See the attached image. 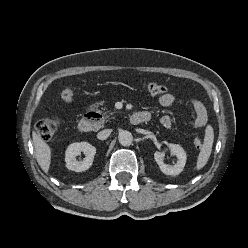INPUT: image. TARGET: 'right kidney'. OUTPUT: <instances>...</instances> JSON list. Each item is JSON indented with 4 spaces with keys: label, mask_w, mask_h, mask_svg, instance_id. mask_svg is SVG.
Instances as JSON below:
<instances>
[{
    "label": "right kidney",
    "mask_w": 248,
    "mask_h": 248,
    "mask_svg": "<svg viewBox=\"0 0 248 248\" xmlns=\"http://www.w3.org/2000/svg\"><path fill=\"white\" fill-rule=\"evenodd\" d=\"M83 152L85 158L78 161L76 157ZM96 154V148L88 142H76L68 146L65 154L66 167L75 172H82L88 170Z\"/></svg>",
    "instance_id": "obj_1"
}]
</instances>
